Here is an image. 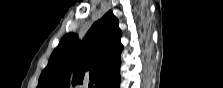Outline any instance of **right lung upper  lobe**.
Wrapping results in <instances>:
<instances>
[{
	"label": "right lung upper lobe",
	"instance_id": "obj_1",
	"mask_svg": "<svg viewBox=\"0 0 223 88\" xmlns=\"http://www.w3.org/2000/svg\"><path fill=\"white\" fill-rule=\"evenodd\" d=\"M122 32L112 11L95 22L82 42L76 34L63 37L40 75L38 88H68L74 69L73 86L89 78L95 88H108L120 80Z\"/></svg>",
	"mask_w": 223,
	"mask_h": 88
}]
</instances>
